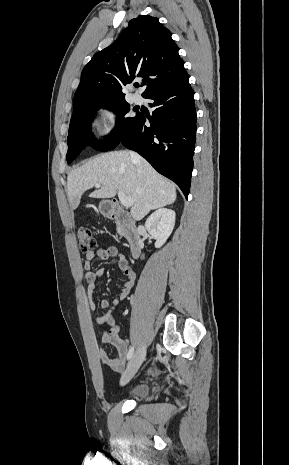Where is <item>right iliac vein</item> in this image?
<instances>
[{
	"mask_svg": "<svg viewBox=\"0 0 289 465\" xmlns=\"http://www.w3.org/2000/svg\"><path fill=\"white\" fill-rule=\"evenodd\" d=\"M146 355V347L141 346L139 347L134 355L132 356L127 369L123 373L120 383L121 385L127 384L136 374L138 371L139 367L141 366L142 362L144 361Z\"/></svg>",
	"mask_w": 289,
	"mask_h": 465,
	"instance_id": "right-iliac-vein-1",
	"label": "right iliac vein"
}]
</instances>
